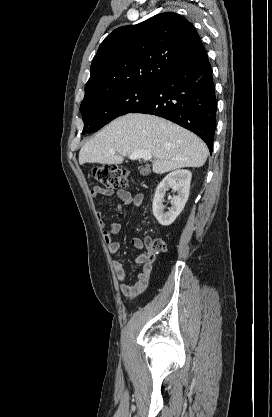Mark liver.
<instances>
[{"label": "liver", "mask_w": 272, "mask_h": 417, "mask_svg": "<svg viewBox=\"0 0 272 417\" xmlns=\"http://www.w3.org/2000/svg\"><path fill=\"white\" fill-rule=\"evenodd\" d=\"M115 150V154L109 151ZM145 150L155 158L152 168L163 174L184 167H202L205 143L190 131L161 117L130 113L106 125L79 152V163L121 164L125 156Z\"/></svg>", "instance_id": "6515ba94"}]
</instances>
